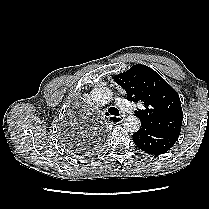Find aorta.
<instances>
[{"label": "aorta", "instance_id": "762f6f07", "mask_svg": "<svg viewBox=\"0 0 209 209\" xmlns=\"http://www.w3.org/2000/svg\"><path fill=\"white\" fill-rule=\"evenodd\" d=\"M112 98L113 92L109 88L98 87L91 91V100L98 105L107 104ZM123 126L129 132H137L140 129L141 122L139 118L131 115L124 119Z\"/></svg>", "mask_w": 209, "mask_h": 209}]
</instances>
